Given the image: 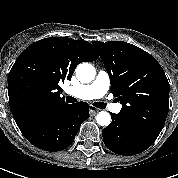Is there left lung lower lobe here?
<instances>
[{
  "mask_svg": "<svg viewBox=\"0 0 178 178\" xmlns=\"http://www.w3.org/2000/svg\"><path fill=\"white\" fill-rule=\"evenodd\" d=\"M112 123L102 130L108 149L119 155H135L145 151L160 132L136 123L121 114H111Z\"/></svg>",
  "mask_w": 178,
  "mask_h": 178,
  "instance_id": "0a47b994",
  "label": "left lung lower lobe"
}]
</instances>
